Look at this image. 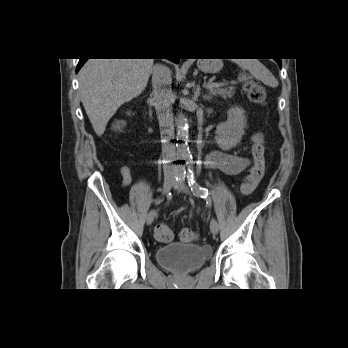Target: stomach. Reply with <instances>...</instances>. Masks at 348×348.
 Wrapping results in <instances>:
<instances>
[{"label":"stomach","mask_w":348,"mask_h":348,"mask_svg":"<svg viewBox=\"0 0 348 348\" xmlns=\"http://www.w3.org/2000/svg\"><path fill=\"white\" fill-rule=\"evenodd\" d=\"M223 66L222 60L220 59H199L198 67L205 73H216Z\"/></svg>","instance_id":"1"}]
</instances>
